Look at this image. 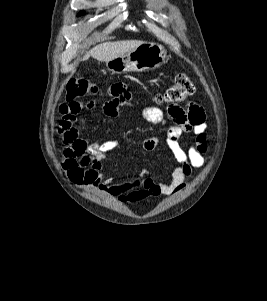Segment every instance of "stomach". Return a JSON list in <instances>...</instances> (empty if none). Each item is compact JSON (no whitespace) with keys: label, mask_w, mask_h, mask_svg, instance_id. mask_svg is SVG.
Wrapping results in <instances>:
<instances>
[{"label":"stomach","mask_w":267,"mask_h":301,"mask_svg":"<svg viewBox=\"0 0 267 301\" xmlns=\"http://www.w3.org/2000/svg\"><path fill=\"white\" fill-rule=\"evenodd\" d=\"M166 55L162 45L143 43L123 56L107 61L106 67L115 74L145 72L159 68L165 62Z\"/></svg>","instance_id":"1"}]
</instances>
